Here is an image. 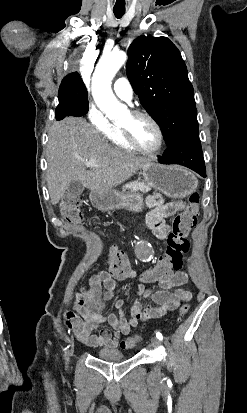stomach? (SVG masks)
<instances>
[{"label": "stomach", "instance_id": "stomach-1", "mask_svg": "<svg viewBox=\"0 0 247 413\" xmlns=\"http://www.w3.org/2000/svg\"><path fill=\"white\" fill-rule=\"evenodd\" d=\"M142 174L148 184L161 190L170 198H185L198 186V178L195 174L178 164H160L155 160H149L145 166H142ZM89 198L100 211L128 209L140 213L143 209L144 198L141 192H117L113 188H107L100 192L91 190Z\"/></svg>", "mask_w": 247, "mask_h": 413}]
</instances>
